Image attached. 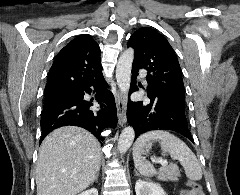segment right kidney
Wrapping results in <instances>:
<instances>
[{
  "mask_svg": "<svg viewBox=\"0 0 240 195\" xmlns=\"http://www.w3.org/2000/svg\"><path fill=\"white\" fill-rule=\"evenodd\" d=\"M78 195H98V189H96V187H91V189L82 191V193H78Z\"/></svg>",
  "mask_w": 240,
  "mask_h": 195,
  "instance_id": "obj_1",
  "label": "right kidney"
}]
</instances>
